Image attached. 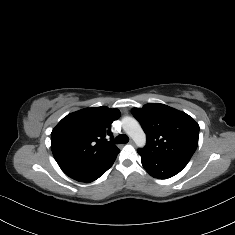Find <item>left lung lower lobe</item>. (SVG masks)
<instances>
[{
  "label": "left lung lower lobe",
  "instance_id": "0a47b994",
  "mask_svg": "<svg viewBox=\"0 0 235 235\" xmlns=\"http://www.w3.org/2000/svg\"><path fill=\"white\" fill-rule=\"evenodd\" d=\"M145 170L154 178L167 179L178 174L187 164L163 157L150 155L142 150H137Z\"/></svg>",
  "mask_w": 235,
  "mask_h": 235
}]
</instances>
